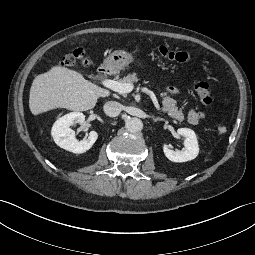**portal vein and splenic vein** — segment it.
I'll use <instances>...</instances> for the list:
<instances>
[{"mask_svg": "<svg viewBox=\"0 0 255 255\" xmlns=\"http://www.w3.org/2000/svg\"><path fill=\"white\" fill-rule=\"evenodd\" d=\"M102 84L115 91V92H118L120 94H123V93H129L131 91H133V89H135V86L133 84H130V83H127V84H123V83H120L118 81H115V80H111V79H105L102 81ZM141 90L142 92L148 94L154 104V106L156 107L157 110H160V105L158 103V100L156 98V95L154 94L153 91H151L150 89L146 88V87H136V90Z\"/></svg>", "mask_w": 255, "mask_h": 255, "instance_id": "1", "label": "portal vein and splenic vein"}]
</instances>
